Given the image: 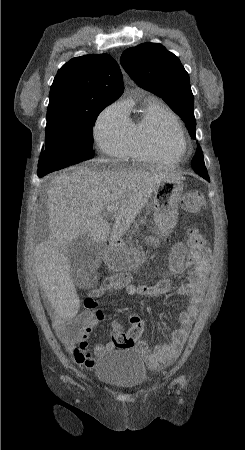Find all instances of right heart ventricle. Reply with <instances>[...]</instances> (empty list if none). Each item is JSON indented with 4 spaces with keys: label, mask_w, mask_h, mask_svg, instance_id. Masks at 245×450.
Listing matches in <instances>:
<instances>
[{
    "label": "right heart ventricle",
    "mask_w": 245,
    "mask_h": 450,
    "mask_svg": "<svg viewBox=\"0 0 245 450\" xmlns=\"http://www.w3.org/2000/svg\"><path fill=\"white\" fill-rule=\"evenodd\" d=\"M129 119V153L133 161L175 162L178 159L157 142L159 123L169 117L178 121L176 115L159 99L148 97L137 116ZM179 122V121H178Z\"/></svg>",
    "instance_id": "obj_1"
}]
</instances>
